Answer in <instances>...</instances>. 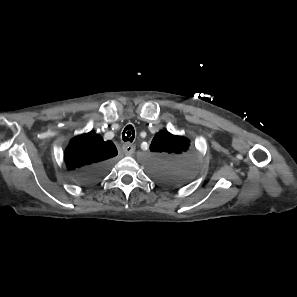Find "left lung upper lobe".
Wrapping results in <instances>:
<instances>
[{"mask_svg": "<svg viewBox=\"0 0 297 297\" xmlns=\"http://www.w3.org/2000/svg\"><path fill=\"white\" fill-rule=\"evenodd\" d=\"M188 139L167 131L158 132L150 145V174L159 182L176 185L187 181L194 173V155Z\"/></svg>", "mask_w": 297, "mask_h": 297, "instance_id": "1", "label": "left lung upper lobe"}]
</instances>
